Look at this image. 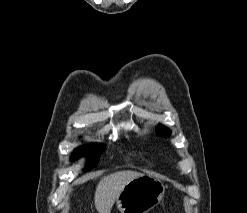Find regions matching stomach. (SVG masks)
<instances>
[{
  "instance_id": "obj_1",
  "label": "stomach",
  "mask_w": 247,
  "mask_h": 213,
  "mask_svg": "<svg viewBox=\"0 0 247 213\" xmlns=\"http://www.w3.org/2000/svg\"><path fill=\"white\" fill-rule=\"evenodd\" d=\"M164 184L157 178L143 175L129 182L116 199L121 213H148L162 200Z\"/></svg>"
}]
</instances>
